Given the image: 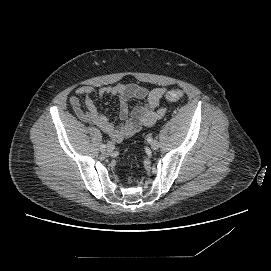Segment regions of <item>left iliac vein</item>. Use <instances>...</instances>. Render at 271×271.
<instances>
[{
    "label": "left iliac vein",
    "instance_id": "4c4485c4",
    "mask_svg": "<svg viewBox=\"0 0 271 271\" xmlns=\"http://www.w3.org/2000/svg\"><path fill=\"white\" fill-rule=\"evenodd\" d=\"M159 146H160V144H159V142L158 141H153L151 144H150V147H151V149H153V150H157L158 148H159Z\"/></svg>",
    "mask_w": 271,
    "mask_h": 271
}]
</instances>
